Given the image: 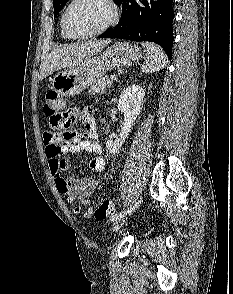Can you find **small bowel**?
<instances>
[{
    "label": "small bowel",
    "instance_id": "small-bowel-1",
    "mask_svg": "<svg viewBox=\"0 0 233 294\" xmlns=\"http://www.w3.org/2000/svg\"><path fill=\"white\" fill-rule=\"evenodd\" d=\"M93 108L85 107L78 111L73 104L67 108L53 110L48 117L49 131L43 135L49 168L59 193L67 196L69 201L90 205V197L98 186V180L92 176L71 178L67 176L70 160L61 158V154L87 152L93 155L84 162L94 171L102 172L106 169L102 146L97 140V130L93 116ZM75 122L84 125V131H74ZM111 174L105 173L104 179H110ZM90 208L83 213L89 217Z\"/></svg>",
    "mask_w": 233,
    "mask_h": 294
}]
</instances>
